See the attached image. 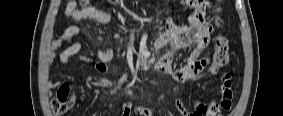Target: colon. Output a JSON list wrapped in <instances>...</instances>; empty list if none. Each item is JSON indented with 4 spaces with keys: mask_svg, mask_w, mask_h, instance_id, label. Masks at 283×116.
I'll list each match as a JSON object with an SVG mask.
<instances>
[{
    "mask_svg": "<svg viewBox=\"0 0 283 116\" xmlns=\"http://www.w3.org/2000/svg\"><path fill=\"white\" fill-rule=\"evenodd\" d=\"M81 3H87L88 1L82 0ZM219 11V9H217ZM216 23L220 24V19L216 20ZM229 63V40L223 35H218L215 38V52L213 55V62L209 68L211 73H216L219 68L226 66ZM226 83H230V75L224 74ZM74 101L73 94L70 87L67 84H62L58 87L52 102L51 109L55 115H62L66 113L72 106ZM231 107V100L227 99L225 102H214L210 104V112L214 116H220L221 110H229Z\"/></svg>",
    "mask_w": 283,
    "mask_h": 116,
    "instance_id": "1",
    "label": "colon"
}]
</instances>
